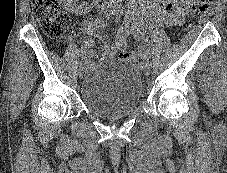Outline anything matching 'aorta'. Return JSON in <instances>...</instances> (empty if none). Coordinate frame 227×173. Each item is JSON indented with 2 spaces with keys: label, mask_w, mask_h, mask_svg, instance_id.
<instances>
[{
  "label": "aorta",
  "mask_w": 227,
  "mask_h": 173,
  "mask_svg": "<svg viewBox=\"0 0 227 173\" xmlns=\"http://www.w3.org/2000/svg\"><path fill=\"white\" fill-rule=\"evenodd\" d=\"M112 2L120 3L122 0H111Z\"/></svg>",
  "instance_id": "1"
}]
</instances>
